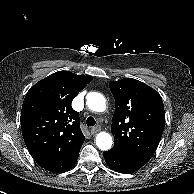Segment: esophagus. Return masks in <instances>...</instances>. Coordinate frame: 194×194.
Returning <instances> with one entry per match:
<instances>
[{"mask_svg": "<svg viewBox=\"0 0 194 194\" xmlns=\"http://www.w3.org/2000/svg\"><path fill=\"white\" fill-rule=\"evenodd\" d=\"M100 130H101V127H100V126H95V127L91 128L90 131H91L92 134H96V133H98Z\"/></svg>", "mask_w": 194, "mask_h": 194, "instance_id": "34e87169", "label": "esophagus"}]
</instances>
